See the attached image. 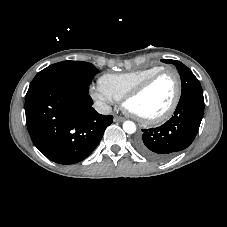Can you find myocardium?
<instances>
[{
    "label": "myocardium",
    "mask_w": 227,
    "mask_h": 227,
    "mask_svg": "<svg viewBox=\"0 0 227 227\" xmlns=\"http://www.w3.org/2000/svg\"><path fill=\"white\" fill-rule=\"evenodd\" d=\"M166 73H171L174 76L175 82H176L175 95H174V98H173L171 104L168 106V108L160 115H158L156 117H152V118H143V117H140L139 115L131 112L127 108V102L130 99L141 94L152 84L153 81H155L158 77H160ZM181 95H182V82H181V77H180L179 73L176 70L171 69V68H163V69L151 74L150 76L145 78L143 81H141L139 84H137L136 86L131 88L122 98V107L128 114H130L132 117H134L139 122H141L145 125H157V124L165 122L173 115V113L175 112V110L180 102Z\"/></svg>",
    "instance_id": "f54148a6"
}]
</instances>
